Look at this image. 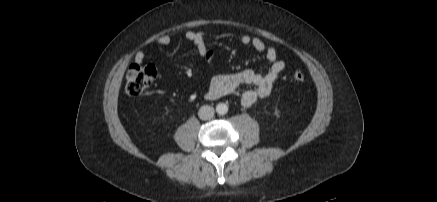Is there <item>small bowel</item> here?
I'll list each match as a JSON object with an SVG mask.
<instances>
[{"label": "small bowel", "mask_w": 437, "mask_h": 202, "mask_svg": "<svg viewBox=\"0 0 437 202\" xmlns=\"http://www.w3.org/2000/svg\"><path fill=\"white\" fill-rule=\"evenodd\" d=\"M173 35H163L147 44L135 55V62L142 63L145 56L159 46H168L175 41ZM182 38L192 42L198 54L210 61L212 52L206 45L207 34L202 31H187L182 34ZM244 45L251 46L255 51L262 54L269 65L265 74L257 73L251 69H246L234 74H215L212 76L206 97L215 100L224 96L234 95L239 97L240 102L245 107L254 105L257 101L267 97L277 81L280 73L285 68V62L278 59L277 50L272 45H266L261 39L242 35L240 38ZM241 86H251L244 91H239Z\"/></svg>", "instance_id": "obj_1"}]
</instances>
